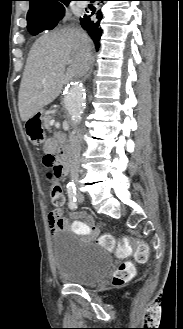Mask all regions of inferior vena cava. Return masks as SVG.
I'll return each instance as SVG.
<instances>
[{"mask_svg":"<svg viewBox=\"0 0 183 329\" xmlns=\"http://www.w3.org/2000/svg\"><path fill=\"white\" fill-rule=\"evenodd\" d=\"M80 62L83 70L84 77H87L91 66H92V53L89 49H82L80 51ZM70 141V155H71V166L70 172L72 180L77 182L79 171H80V150H81V141L76 131H71L69 135Z\"/></svg>","mask_w":183,"mask_h":329,"instance_id":"602c4592","label":"inferior vena cava"}]
</instances>
